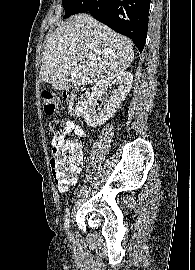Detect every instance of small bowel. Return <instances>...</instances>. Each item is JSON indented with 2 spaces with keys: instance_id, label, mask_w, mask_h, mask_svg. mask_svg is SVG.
Instances as JSON below:
<instances>
[{
  "instance_id": "small-bowel-1",
  "label": "small bowel",
  "mask_w": 195,
  "mask_h": 270,
  "mask_svg": "<svg viewBox=\"0 0 195 270\" xmlns=\"http://www.w3.org/2000/svg\"><path fill=\"white\" fill-rule=\"evenodd\" d=\"M70 133L75 134L79 138L86 137L85 131L82 128H80L79 126H77L74 121H67L66 122V135H68ZM64 138L65 137H53V139L51 141L53 151L57 147L61 146L64 143Z\"/></svg>"
}]
</instances>
